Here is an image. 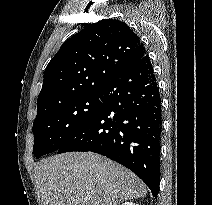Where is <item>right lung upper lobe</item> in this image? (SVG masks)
Returning a JSON list of instances; mask_svg holds the SVG:
<instances>
[{"mask_svg":"<svg viewBox=\"0 0 212 205\" xmlns=\"http://www.w3.org/2000/svg\"><path fill=\"white\" fill-rule=\"evenodd\" d=\"M146 55L138 36L116 19L86 24L48 63L37 116L77 97L98 93L121 71Z\"/></svg>","mask_w":212,"mask_h":205,"instance_id":"cb5924a9","label":"right lung upper lobe"}]
</instances>
